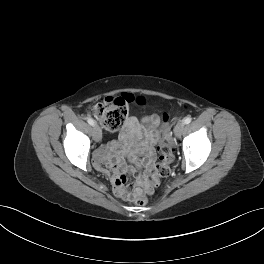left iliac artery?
<instances>
[{
	"instance_id": "obj_1",
	"label": "left iliac artery",
	"mask_w": 264,
	"mask_h": 264,
	"mask_svg": "<svg viewBox=\"0 0 264 264\" xmlns=\"http://www.w3.org/2000/svg\"><path fill=\"white\" fill-rule=\"evenodd\" d=\"M191 118L190 117H186L184 120H183V122H184V124H189L190 122H191Z\"/></svg>"
}]
</instances>
